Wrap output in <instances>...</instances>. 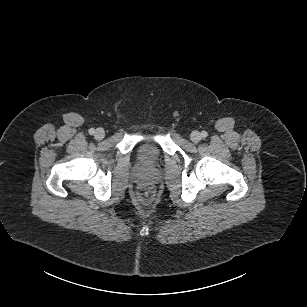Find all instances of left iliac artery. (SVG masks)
<instances>
[{
  "mask_svg": "<svg viewBox=\"0 0 307 307\" xmlns=\"http://www.w3.org/2000/svg\"><path fill=\"white\" fill-rule=\"evenodd\" d=\"M201 136H202L203 138H206V137L208 136V133H207L206 131H202V132H201Z\"/></svg>",
  "mask_w": 307,
  "mask_h": 307,
  "instance_id": "44dca946",
  "label": "left iliac artery"
}]
</instances>
